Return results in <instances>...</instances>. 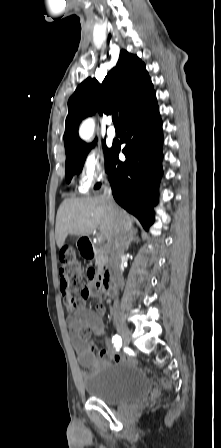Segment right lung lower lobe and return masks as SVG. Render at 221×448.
<instances>
[{
	"label": "right lung lower lobe",
	"instance_id": "98d812e1",
	"mask_svg": "<svg viewBox=\"0 0 221 448\" xmlns=\"http://www.w3.org/2000/svg\"><path fill=\"white\" fill-rule=\"evenodd\" d=\"M121 143L126 161L118 159L120 144L113 145L105 164L116 202L135 215L144 229L154 221L162 176V121L155 92L121 119ZM100 183L95 188H99Z\"/></svg>",
	"mask_w": 221,
	"mask_h": 448
}]
</instances>
